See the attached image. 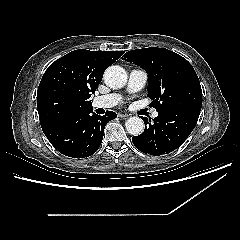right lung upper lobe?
<instances>
[{
    "instance_id": "1",
    "label": "right lung upper lobe",
    "mask_w": 240,
    "mask_h": 240,
    "mask_svg": "<svg viewBox=\"0 0 240 240\" xmlns=\"http://www.w3.org/2000/svg\"><path fill=\"white\" fill-rule=\"evenodd\" d=\"M123 53L79 49L53 62L37 91L42 130L75 113L91 110V94L101 82L106 68Z\"/></svg>"
}]
</instances>
